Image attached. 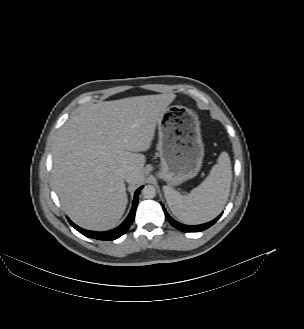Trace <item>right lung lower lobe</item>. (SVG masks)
<instances>
[{"label":"right lung lower lobe","mask_w":304,"mask_h":329,"mask_svg":"<svg viewBox=\"0 0 304 329\" xmlns=\"http://www.w3.org/2000/svg\"><path fill=\"white\" fill-rule=\"evenodd\" d=\"M142 189V187H140L136 192H135V196H134V201H133V206L132 209L128 215V217L125 219V221L118 226L115 229H112L110 231H106V232H94V231H89V230H85L82 229L80 227H78L77 225H75L73 222L70 221V224L77 230L79 231L81 234H83L86 237L89 238H93V239H98V240H115L117 238H119L120 236H122L130 227L134 216H135V212H136V207L138 204V194L140 192V190Z\"/></svg>","instance_id":"98d812e1"}]
</instances>
